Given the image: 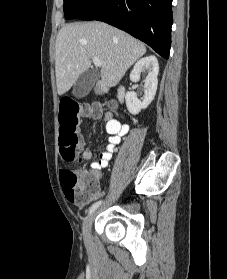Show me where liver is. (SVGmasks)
<instances>
[{
    "label": "liver",
    "mask_w": 227,
    "mask_h": 279,
    "mask_svg": "<svg viewBox=\"0 0 227 279\" xmlns=\"http://www.w3.org/2000/svg\"><path fill=\"white\" fill-rule=\"evenodd\" d=\"M143 43L102 22L71 23L61 28L55 46V72L59 95L66 93L79 76L100 58L101 79L113 87L144 54Z\"/></svg>",
    "instance_id": "1"
}]
</instances>
